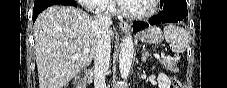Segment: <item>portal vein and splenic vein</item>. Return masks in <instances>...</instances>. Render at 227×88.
I'll use <instances>...</instances> for the list:
<instances>
[{
	"label": "portal vein and splenic vein",
	"instance_id": "1",
	"mask_svg": "<svg viewBox=\"0 0 227 88\" xmlns=\"http://www.w3.org/2000/svg\"><path fill=\"white\" fill-rule=\"evenodd\" d=\"M78 56H79V54L78 53H76L73 57H72V60H76L77 58H78ZM154 56L155 57H157V58H164L165 57V55L164 54H161V55H159V54H154Z\"/></svg>",
	"mask_w": 227,
	"mask_h": 88
}]
</instances>
